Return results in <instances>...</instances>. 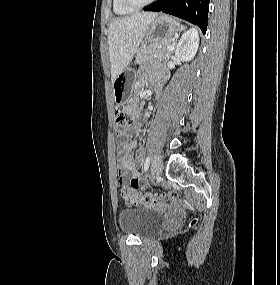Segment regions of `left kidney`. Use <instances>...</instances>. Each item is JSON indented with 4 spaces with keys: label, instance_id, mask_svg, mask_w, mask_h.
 <instances>
[{
    "label": "left kidney",
    "instance_id": "left-kidney-1",
    "mask_svg": "<svg viewBox=\"0 0 280 285\" xmlns=\"http://www.w3.org/2000/svg\"><path fill=\"white\" fill-rule=\"evenodd\" d=\"M199 46V34L197 29L186 31L179 40L175 50V56L180 61H190L197 53Z\"/></svg>",
    "mask_w": 280,
    "mask_h": 285
}]
</instances>
